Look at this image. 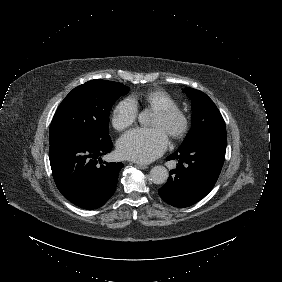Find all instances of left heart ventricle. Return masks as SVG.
<instances>
[{
	"mask_svg": "<svg viewBox=\"0 0 282 282\" xmlns=\"http://www.w3.org/2000/svg\"><path fill=\"white\" fill-rule=\"evenodd\" d=\"M152 127H162L165 129L164 121L155 113L151 122Z\"/></svg>",
	"mask_w": 282,
	"mask_h": 282,
	"instance_id": "obj_1",
	"label": "left heart ventricle"
}]
</instances>
